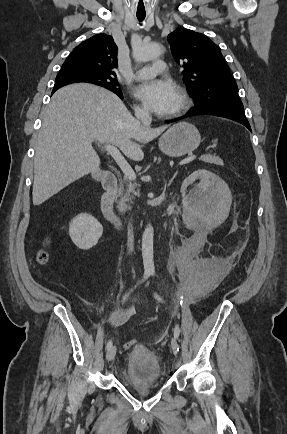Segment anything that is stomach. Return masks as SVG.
Masks as SVG:
<instances>
[{
    "instance_id": "1",
    "label": "stomach",
    "mask_w": 287,
    "mask_h": 434,
    "mask_svg": "<svg viewBox=\"0 0 287 434\" xmlns=\"http://www.w3.org/2000/svg\"><path fill=\"white\" fill-rule=\"evenodd\" d=\"M201 142L198 129L187 122L170 127L160 138V150L170 157H179L194 151Z\"/></svg>"
}]
</instances>
